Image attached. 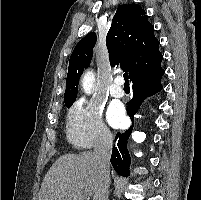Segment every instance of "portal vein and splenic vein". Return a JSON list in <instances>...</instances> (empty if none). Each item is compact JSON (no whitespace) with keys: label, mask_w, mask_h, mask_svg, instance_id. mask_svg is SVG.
<instances>
[{"label":"portal vein and splenic vein","mask_w":201,"mask_h":200,"mask_svg":"<svg viewBox=\"0 0 201 200\" xmlns=\"http://www.w3.org/2000/svg\"><path fill=\"white\" fill-rule=\"evenodd\" d=\"M84 194H85V196H87V197H89V196H91V193L88 191V190H84Z\"/></svg>","instance_id":"18ae733b"}]
</instances>
